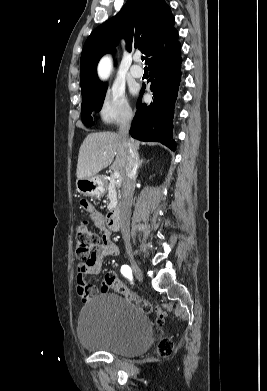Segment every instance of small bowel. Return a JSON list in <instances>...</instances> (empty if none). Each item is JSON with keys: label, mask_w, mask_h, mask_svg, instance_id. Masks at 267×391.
I'll list each match as a JSON object with an SVG mask.
<instances>
[{"label": "small bowel", "mask_w": 267, "mask_h": 391, "mask_svg": "<svg viewBox=\"0 0 267 391\" xmlns=\"http://www.w3.org/2000/svg\"><path fill=\"white\" fill-rule=\"evenodd\" d=\"M81 208L86 211L93 224L99 228L104 227L103 215L96 210V208L87 200H81ZM119 254V248L115 242L106 234L103 238V242L100 247L90 256L87 261H81L77 266V292L85 300H90L98 292H106L110 286L107 281V274H105L101 287L98 288L92 285L87 280L88 274H99L102 270V263L104 258L109 256H117Z\"/></svg>", "instance_id": "c3829d8e"}]
</instances>
